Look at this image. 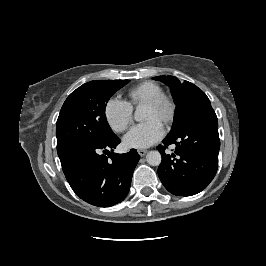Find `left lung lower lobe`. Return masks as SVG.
I'll list each match as a JSON object with an SVG mask.
<instances>
[{
  "label": "left lung lower lobe",
  "mask_w": 266,
  "mask_h": 266,
  "mask_svg": "<svg viewBox=\"0 0 266 266\" xmlns=\"http://www.w3.org/2000/svg\"><path fill=\"white\" fill-rule=\"evenodd\" d=\"M157 149L162 156L158 176L165 188L177 196H191L204 190L218 169L220 139L214 111L197 118L180 132L167 136ZM176 144L172 155L164 152Z\"/></svg>",
  "instance_id": "obj_1"
}]
</instances>
